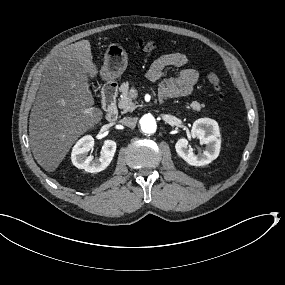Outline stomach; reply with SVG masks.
Here are the masks:
<instances>
[{
    "label": "stomach",
    "instance_id": "stomach-1",
    "mask_svg": "<svg viewBox=\"0 0 285 285\" xmlns=\"http://www.w3.org/2000/svg\"><path fill=\"white\" fill-rule=\"evenodd\" d=\"M127 53L119 44H110L104 55V65L101 74L104 80L111 81L118 78L126 69Z\"/></svg>",
    "mask_w": 285,
    "mask_h": 285
}]
</instances>
